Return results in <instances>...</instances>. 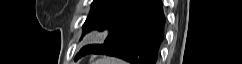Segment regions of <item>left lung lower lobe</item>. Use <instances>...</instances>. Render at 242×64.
I'll return each instance as SVG.
<instances>
[{
  "mask_svg": "<svg viewBox=\"0 0 242 64\" xmlns=\"http://www.w3.org/2000/svg\"><path fill=\"white\" fill-rule=\"evenodd\" d=\"M165 16L160 0H121L97 22L95 30H108L104 43L84 46L86 54L121 58L131 64H155L164 38Z\"/></svg>",
  "mask_w": 242,
  "mask_h": 64,
  "instance_id": "left-lung-lower-lobe-1",
  "label": "left lung lower lobe"
}]
</instances>
